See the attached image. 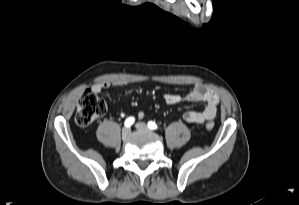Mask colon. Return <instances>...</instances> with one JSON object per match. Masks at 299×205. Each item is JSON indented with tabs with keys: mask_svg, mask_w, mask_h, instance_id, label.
<instances>
[{
	"mask_svg": "<svg viewBox=\"0 0 299 205\" xmlns=\"http://www.w3.org/2000/svg\"><path fill=\"white\" fill-rule=\"evenodd\" d=\"M106 109V102L97 96L96 93L88 90L78 101L76 122L80 126H88L103 116ZM205 127L208 131H211L214 128V123L208 121Z\"/></svg>",
	"mask_w": 299,
	"mask_h": 205,
	"instance_id": "5ec220e1",
	"label": "colon"
}]
</instances>
